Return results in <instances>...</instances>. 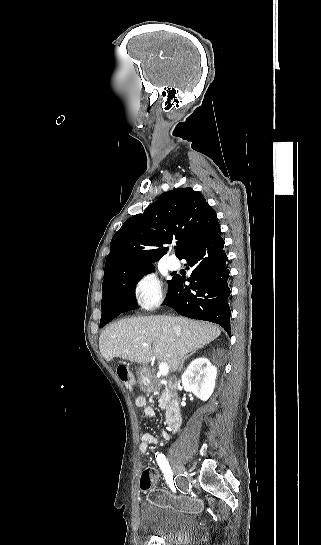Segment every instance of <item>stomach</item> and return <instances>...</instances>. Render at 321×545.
Wrapping results in <instances>:
<instances>
[{"label": "stomach", "instance_id": "1", "mask_svg": "<svg viewBox=\"0 0 321 545\" xmlns=\"http://www.w3.org/2000/svg\"><path fill=\"white\" fill-rule=\"evenodd\" d=\"M148 367H146V365H139L138 369H137V375L141 381V385L143 387V389H146L145 385H143L142 383V377H145V373L147 371Z\"/></svg>", "mask_w": 321, "mask_h": 545}]
</instances>
